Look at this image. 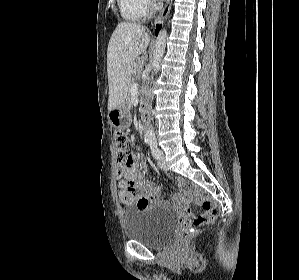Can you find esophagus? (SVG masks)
<instances>
[{
  "instance_id": "esophagus-1",
  "label": "esophagus",
  "mask_w": 299,
  "mask_h": 280,
  "mask_svg": "<svg viewBox=\"0 0 299 280\" xmlns=\"http://www.w3.org/2000/svg\"><path fill=\"white\" fill-rule=\"evenodd\" d=\"M171 4H172V0H168L167 4L163 8V10L160 12V14L154 20V24H156L157 22H159L162 19H165L167 17V15H168V13L170 12V9H171Z\"/></svg>"
}]
</instances>
